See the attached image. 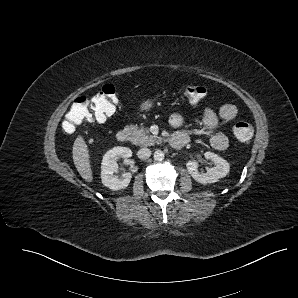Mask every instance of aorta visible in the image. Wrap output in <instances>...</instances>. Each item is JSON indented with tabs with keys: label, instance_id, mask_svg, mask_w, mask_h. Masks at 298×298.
<instances>
[{
	"label": "aorta",
	"instance_id": "762f6f07",
	"mask_svg": "<svg viewBox=\"0 0 298 298\" xmlns=\"http://www.w3.org/2000/svg\"><path fill=\"white\" fill-rule=\"evenodd\" d=\"M164 159V153L161 150H157L154 152V160L162 161Z\"/></svg>",
	"mask_w": 298,
	"mask_h": 298
}]
</instances>
